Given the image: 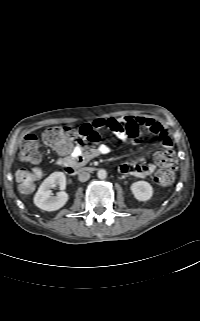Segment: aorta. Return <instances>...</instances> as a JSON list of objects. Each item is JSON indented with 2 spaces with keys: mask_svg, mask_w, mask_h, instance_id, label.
Segmentation results:
<instances>
[{
  "mask_svg": "<svg viewBox=\"0 0 200 321\" xmlns=\"http://www.w3.org/2000/svg\"><path fill=\"white\" fill-rule=\"evenodd\" d=\"M97 176L99 179H105L107 177V172L106 170L104 169H100L98 172H97Z\"/></svg>",
  "mask_w": 200,
  "mask_h": 321,
  "instance_id": "762f6f07",
  "label": "aorta"
}]
</instances>
